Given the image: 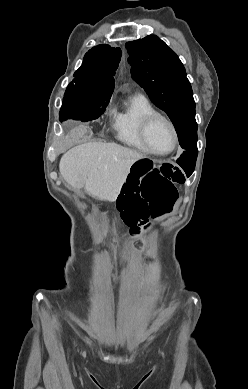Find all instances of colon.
<instances>
[{"label":"colon","mask_w":248,"mask_h":389,"mask_svg":"<svg viewBox=\"0 0 248 389\" xmlns=\"http://www.w3.org/2000/svg\"><path fill=\"white\" fill-rule=\"evenodd\" d=\"M183 182L182 171L172 161L139 157L121 186V194L116 195L121 217L132 216L129 224L133 236L139 233L140 225L147 224L149 216L158 218L172 210L178 198L177 185Z\"/></svg>","instance_id":"obj_1"}]
</instances>
